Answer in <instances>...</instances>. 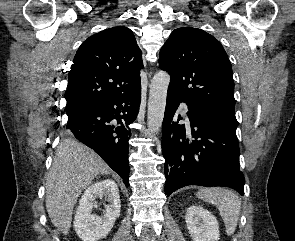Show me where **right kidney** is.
Masks as SVG:
<instances>
[{
  "label": "right kidney",
  "instance_id": "obj_1",
  "mask_svg": "<svg viewBox=\"0 0 295 241\" xmlns=\"http://www.w3.org/2000/svg\"><path fill=\"white\" fill-rule=\"evenodd\" d=\"M97 198L108 202L102 216L92 214ZM121 205L118 186L112 179H105L89 186L82 195L74 219V229L83 241H98L111 231L120 215Z\"/></svg>",
  "mask_w": 295,
  "mask_h": 241
}]
</instances>
